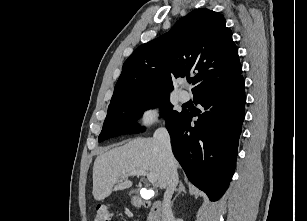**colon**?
Instances as JSON below:
<instances>
[{
    "instance_id": "colon-1",
    "label": "colon",
    "mask_w": 307,
    "mask_h": 221,
    "mask_svg": "<svg viewBox=\"0 0 307 221\" xmlns=\"http://www.w3.org/2000/svg\"><path fill=\"white\" fill-rule=\"evenodd\" d=\"M112 212L108 204H101L97 207L93 221H111Z\"/></svg>"
}]
</instances>
